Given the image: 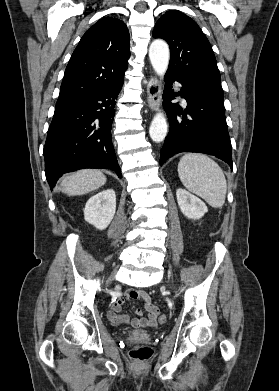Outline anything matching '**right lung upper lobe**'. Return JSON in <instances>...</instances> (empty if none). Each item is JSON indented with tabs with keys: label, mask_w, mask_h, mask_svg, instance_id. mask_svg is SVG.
<instances>
[{
	"label": "right lung upper lobe",
	"mask_w": 279,
	"mask_h": 391,
	"mask_svg": "<svg viewBox=\"0 0 279 391\" xmlns=\"http://www.w3.org/2000/svg\"><path fill=\"white\" fill-rule=\"evenodd\" d=\"M129 57L126 24L114 17L100 19L74 50L57 101L89 95L122 82Z\"/></svg>",
	"instance_id": "obj_1"
}]
</instances>
